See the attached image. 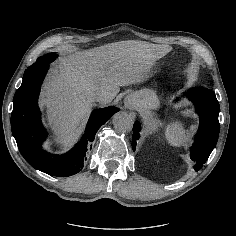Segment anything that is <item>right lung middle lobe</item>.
Instances as JSON below:
<instances>
[{
  "mask_svg": "<svg viewBox=\"0 0 236 236\" xmlns=\"http://www.w3.org/2000/svg\"><path fill=\"white\" fill-rule=\"evenodd\" d=\"M57 58V55L56 53H49V54H46L42 57H39L36 62L31 65L26 71L25 73H27L29 70H32V69H36V68H39V67H42L46 64H49L51 63L52 61H54L55 59Z\"/></svg>",
  "mask_w": 236,
  "mask_h": 236,
  "instance_id": "dd1d6c3e",
  "label": "right lung middle lobe"
}]
</instances>
